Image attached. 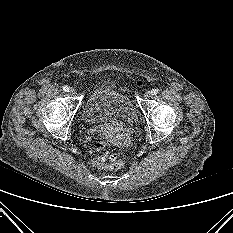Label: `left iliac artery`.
<instances>
[{"mask_svg":"<svg viewBox=\"0 0 233 233\" xmlns=\"http://www.w3.org/2000/svg\"><path fill=\"white\" fill-rule=\"evenodd\" d=\"M151 92H152V95H156V94H158L159 90L158 89H153Z\"/></svg>","mask_w":233,"mask_h":233,"instance_id":"obj_1","label":"left iliac artery"}]
</instances>
